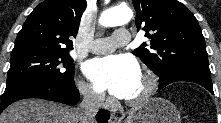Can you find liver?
Here are the masks:
<instances>
[{
    "mask_svg": "<svg viewBox=\"0 0 221 123\" xmlns=\"http://www.w3.org/2000/svg\"><path fill=\"white\" fill-rule=\"evenodd\" d=\"M0 123H79L77 109L40 99H25L8 106Z\"/></svg>",
    "mask_w": 221,
    "mask_h": 123,
    "instance_id": "liver-1",
    "label": "liver"
}]
</instances>
